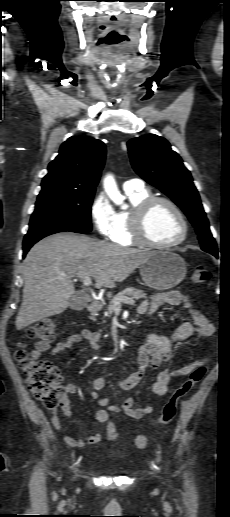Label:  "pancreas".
<instances>
[{
	"label": "pancreas",
	"instance_id": "cf45deb5",
	"mask_svg": "<svg viewBox=\"0 0 230 517\" xmlns=\"http://www.w3.org/2000/svg\"><path fill=\"white\" fill-rule=\"evenodd\" d=\"M127 296H135L137 298H144V297H146V293H144V291L134 288V287H127L126 289L119 292L117 295H115L110 300L109 305L107 306V315H111L113 313L114 302L116 300L127 297Z\"/></svg>",
	"mask_w": 230,
	"mask_h": 517
}]
</instances>
